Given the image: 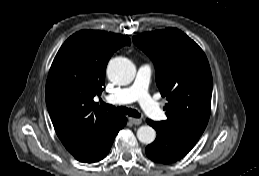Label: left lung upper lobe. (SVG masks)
I'll return each instance as SVG.
<instances>
[{"label": "left lung upper lobe", "mask_w": 259, "mask_h": 176, "mask_svg": "<svg viewBox=\"0 0 259 176\" xmlns=\"http://www.w3.org/2000/svg\"><path fill=\"white\" fill-rule=\"evenodd\" d=\"M133 42L154 62L157 86L167 96V120L158 125L197 141L207 126L212 96V74L204 52L176 28L142 33Z\"/></svg>", "instance_id": "obj_1"}]
</instances>
